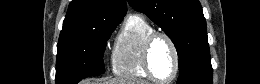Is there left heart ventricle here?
Listing matches in <instances>:
<instances>
[{"mask_svg":"<svg viewBox=\"0 0 260 84\" xmlns=\"http://www.w3.org/2000/svg\"><path fill=\"white\" fill-rule=\"evenodd\" d=\"M151 67L160 80H168L174 71V55L164 38H157L151 50Z\"/></svg>","mask_w":260,"mask_h":84,"instance_id":"obj_1","label":"left heart ventricle"}]
</instances>
